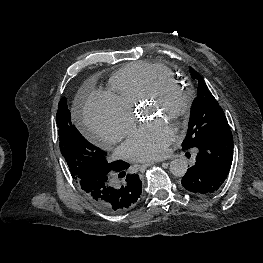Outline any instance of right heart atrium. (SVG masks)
<instances>
[{"label": "right heart atrium", "mask_w": 263, "mask_h": 263, "mask_svg": "<svg viewBox=\"0 0 263 263\" xmlns=\"http://www.w3.org/2000/svg\"><path fill=\"white\" fill-rule=\"evenodd\" d=\"M84 120L103 146L123 138L134 125L132 110L106 92H95L88 97Z\"/></svg>", "instance_id": "d8ad5b80"}]
</instances>
